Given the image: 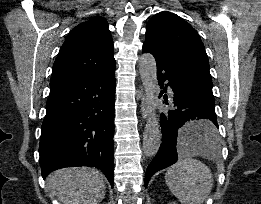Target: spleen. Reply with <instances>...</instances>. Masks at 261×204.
I'll use <instances>...</instances> for the list:
<instances>
[{
	"label": "spleen",
	"mask_w": 261,
	"mask_h": 204,
	"mask_svg": "<svg viewBox=\"0 0 261 204\" xmlns=\"http://www.w3.org/2000/svg\"><path fill=\"white\" fill-rule=\"evenodd\" d=\"M197 123L186 124L181 131H191ZM218 137L215 141H201L193 149L216 154L219 150ZM168 188L181 204H202L213 186L211 170L202 162L192 158H180L165 174Z\"/></svg>",
	"instance_id": "obj_1"
}]
</instances>
